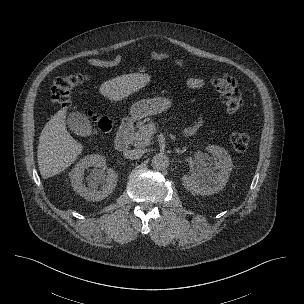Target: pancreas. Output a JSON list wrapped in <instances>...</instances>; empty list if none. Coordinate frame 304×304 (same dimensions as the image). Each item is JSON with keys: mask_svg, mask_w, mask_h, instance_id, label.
<instances>
[{"mask_svg": "<svg viewBox=\"0 0 304 304\" xmlns=\"http://www.w3.org/2000/svg\"><path fill=\"white\" fill-rule=\"evenodd\" d=\"M145 119L143 121H139L136 124V128L132 129L128 134V142L134 145L137 148H143L148 146L151 143L152 134H150V125L154 126V123L149 122Z\"/></svg>", "mask_w": 304, "mask_h": 304, "instance_id": "obj_1", "label": "pancreas"}]
</instances>
